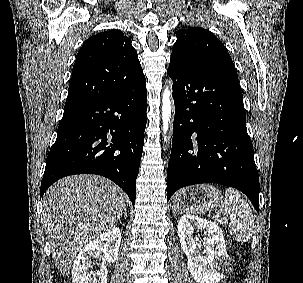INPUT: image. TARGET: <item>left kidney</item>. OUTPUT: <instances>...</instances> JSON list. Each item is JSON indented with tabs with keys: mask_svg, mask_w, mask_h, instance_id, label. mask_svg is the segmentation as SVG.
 Listing matches in <instances>:
<instances>
[{
	"mask_svg": "<svg viewBox=\"0 0 303 283\" xmlns=\"http://www.w3.org/2000/svg\"><path fill=\"white\" fill-rule=\"evenodd\" d=\"M178 237L188 258L187 266L197 283H218L231 269L222 230L213 222L192 215H184L178 222ZM203 231L207 246L202 253L201 243L193 233Z\"/></svg>",
	"mask_w": 303,
	"mask_h": 283,
	"instance_id": "1",
	"label": "left kidney"
}]
</instances>
